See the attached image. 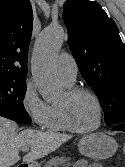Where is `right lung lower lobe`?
<instances>
[{"label": "right lung lower lobe", "instance_id": "1", "mask_svg": "<svg viewBox=\"0 0 125 167\" xmlns=\"http://www.w3.org/2000/svg\"><path fill=\"white\" fill-rule=\"evenodd\" d=\"M0 116L16 122L31 123V119L24 109L16 108L2 102H0Z\"/></svg>", "mask_w": 125, "mask_h": 167}]
</instances>
